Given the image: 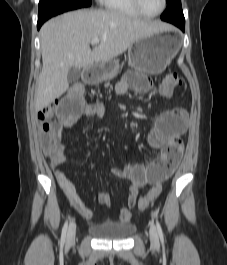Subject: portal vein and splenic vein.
<instances>
[{
  "label": "portal vein and splenic vein",
  "instance_id": "obj_1",
  "mask_svg": "<svg viewBox=\"0 0 227 265\" xmlns=\"http://www.w3.org/2000/svg\"><path fill=\"white\" fill-rule=\"evenodd\" d=\"M99 42H100V39H99V38H93V39L91 40V44H92V45L99 44Z\"/></svg>",
  "mask_w": 227,
  "mask_h": 265
}]
</instances>
